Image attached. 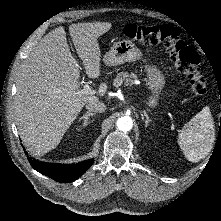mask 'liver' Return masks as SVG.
I'll return each mask as SVG.
<instances>
[{
    "instance_id": "obj_1",
    "label": "liver",
    "mask_w": 221,
    "mask_h": 221,
    "mask_svg": "<svg viewBox=\"0 0 221 221\" xmlns=\"http://www.w3.org/2000/svg\"><path fill=\"white\" fill-rule=\"evenodd\" d=\"M109 22L77 23L69 26L75 49L86 74H101L98 38L108 32ZM80 66L72 56L62 26L37 44L20 67L14 107L20 137L27 149L40 155L55 148L83 106L96 96L80 94ZM107 85L101 84L100 96Z\"/></svg>"
}]
</instances>
